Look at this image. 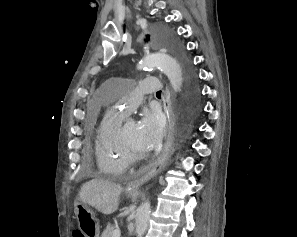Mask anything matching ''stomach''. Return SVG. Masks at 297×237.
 <instances>
[{
  "instance_id": "1",
  "label": "stomach",
  "mask_w": 297,
  "mask_h": 237,
  "mask_svg": "<svg viewBox=\"0 0 297 237\" xmlns=\"http://www.w3.org/2000/svg\"><path fill=\"white\" fill-rule=\"evenodd\" d=\"M127 196L131 197L135 192L127 191ZM75 215L80 232L84 237H99L100 225L94 212L85 204L75 206Z\"/></svg>"
}]
</instances>
